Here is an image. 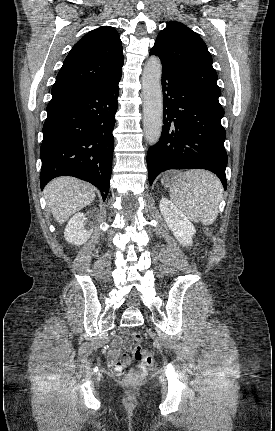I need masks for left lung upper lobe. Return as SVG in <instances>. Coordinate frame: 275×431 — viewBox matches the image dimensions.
Listing matches in <instances>:
<instances>
[{"mask_svg": "<svg viewBox=\"0 0 275 431\" xmlns=\"http://www.w3.org/2000/svg\"><path fill=\"white\" fill-rule=\"evenodd\" d=\"M151 51L162 65L183 76L200 94L219 105L221 90L217 86V74L212 66V57L204 41L186 25L170 21L167 23Z\"/></svg>", "mask_w": 275, "mask_h": 431, "instance_id": "left-lung-upper-lobe-1", "label": "left lung upper lobe"}]
</instances>
